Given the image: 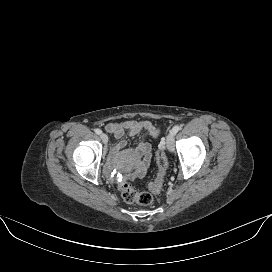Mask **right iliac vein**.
Segmentation results:
<instances>
[{"label": "right iliac vein", "instance_id": "right-iliac-vein-1", "mask_svg": "<svg viewBox=\"0 0 272 272\" xmlns=\"http://www.w3.org/2000/svg\"><path fill=\"white\" fill-rule=\"evenodd\" d=\"M100 138L103 141V143L106 144L108 142V136L105 133H101Z\"/></svg>", "mask_w": 272, "mask_h": 272}]
</instances>
